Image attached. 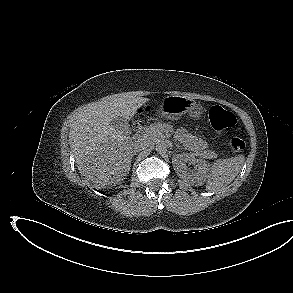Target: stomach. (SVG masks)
<instances>
[{
  "instance_id": "stomach-1",
  "label": "stomach",
  "mask_w": 293,
  "mask_h": 293,
  "mask_svg": "<svg viewBox=\"0 0 293 293\" xmlns=\"http://www.w3.org/2000/svg\"><path fill=\"white\" fill-rule=\"evenodd\" d=\"M190 113L194 118H199L202 111L196 102L185 96H167L158 110V115L169 120H178L182 115Z\"/></svg>"
}]
</instances>
